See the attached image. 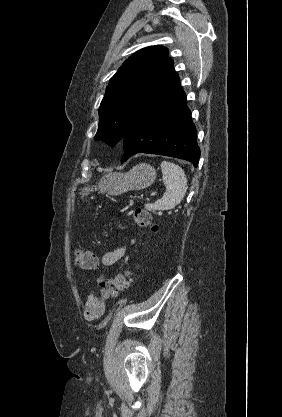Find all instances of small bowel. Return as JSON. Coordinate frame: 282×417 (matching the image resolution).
I'll return each mask as SVG.
<instances>
[{"label":"small bowel","instance_id":"1","mask_svg":"<svg viewBox=\"0 0 282 417\" xmlns=\"http://www.w3.org/2000/svg\"><path fill=\"white\" fill-rule=\"evenodd\" d=\"M127 252L126 246L119 247L110 252H107L100 259V263L104 264V267L113 266L120 258H122ZM137 269L139 265L135 263ZM105 279V275L102 274L98 277V282H102ZM105 311L103 304L99 303L96 293H91L84 309V317L87 321H95L99 319Z\"/></svg>","mask_w":282,"mask_h":417}]
</instances>
